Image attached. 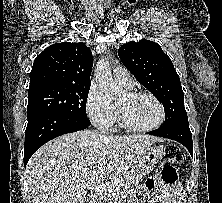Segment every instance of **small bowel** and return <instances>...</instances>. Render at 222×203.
Returning a JSON list of instances; mask_svg holds the SVG:
<instances>
[{
	"mask_svg": "<svg viewBox=\"0 0 222 203\" xmlns=\"http://www.w3.org/2000/svg\"><path fill=\"white\" fill-rule=\"evenodd\" d=\"M138 199L152 194L156 201L161 203H183L182 190L178 184L169 185L164 183L159 176H154L136 192ZM133 203H140L135 201Z\"/></svg>",
	"mask_w": 222,
	"mask_h": 203,
	"instance_id": "c3829d8e",
	"label": "small bowel"
}]
</instances>
